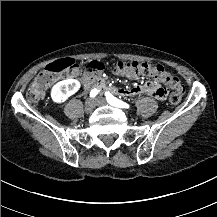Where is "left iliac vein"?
Instances as JSON below:
<instances>
[{"label": "left iliac vein", "instance_id": "1", "mask_svg": "<svg viewBox=\"0 0 217 217\" xmlns=\"http://www.w3.org/2000/svg\"><path fill=\"white\" fill-rule=\"evenodd\" d=\"M95 101H96L98 104H100V105H105V104H106V101H105L104 99H102V98H97V99H95Z\"/></svg>", "mask_w": 217, "mask_h": 217}]
</instances>
